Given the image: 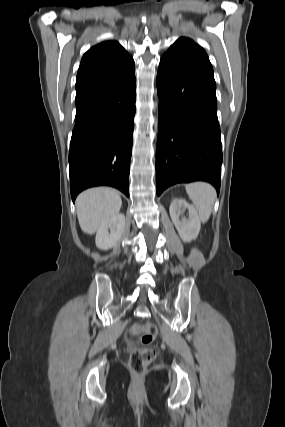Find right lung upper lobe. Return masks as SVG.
<instances>
[{
  "instance_id": "obj_1",
  "label": "right lung upper lobe",
  "mask_w": 285,
  "mask_h": 427,
  "mask_svg": "<svg viewBox=\"0 0 285 427\" xmlns=\"http://www.w3.org/2000/svg\"><path fill=\"white\" fill-rule=\"evenodd\" d=\"M134 71L133 58L116 41H104L88 50L77 73L76 97L112 83Z\"/></svg>"
}]
</instances>
